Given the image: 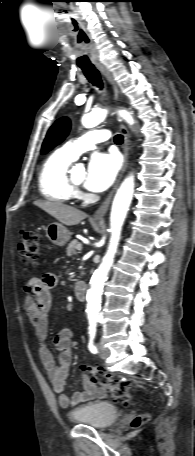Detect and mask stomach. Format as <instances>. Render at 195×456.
Returning a JSON list of instances; mask_svg holds the SVG:
<instances>
[{
  "label": "stomach",
  "instance_id": "obj_1",
  "mask_svg": "<svg viewBox=\"0 0 195 456\" xmlns=\"http://www.w3.org/2000/svg\"><path fill=\"white\" fill-rule=\"evenodd\" d=\"M46 236L53 244L64 246L70 240L71 233L62 224L53 222L46 227Z\"/></svg>",
  "mask_w": 195,
  "mask_h": 456
}]
</instances>
